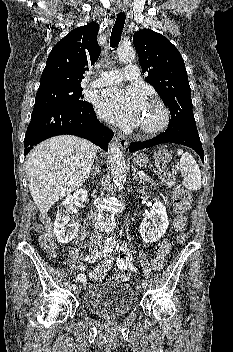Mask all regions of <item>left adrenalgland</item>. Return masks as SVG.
Instances as JSON below:
<instances>
[{
    "mask_svg": "<svg viewBox=\"0 0 233 352\" xmlns=\"http://www.w3.org/2000/svg\"><path fill=\"white\" fill-rule=\"evenodd\" d=\"M136 181H139V183H142V180L138 178L137 174L134 172L133 173V183H135Z\"/></svg>",
    "mask_w": 233,
    "mask_h": 352,
    "instance_id": "left-adrenal-gland-1",
    "label": "left adrenal gland"
}]
</instances>
